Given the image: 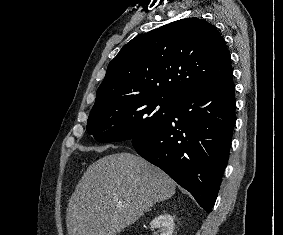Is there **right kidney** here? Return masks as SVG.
I'll return each instance as SVG.
<instances>
[{
    "mask_svg": "<svg viewBox=\"0 0 283 235\" xmlns=\"http://www.w3.org/2000/svg\"><path fill=\"white\" fill-rule=\"evenodd\" d=\"M151 228H158L160 235H172L174 220L170 214L163 213L150 222Z\"/></svg>",
    "mask_w": 283,
    "mask_h": 235,
    "instance_id": "obj_1",
    "label": "right kidney"
}]
</instances>
